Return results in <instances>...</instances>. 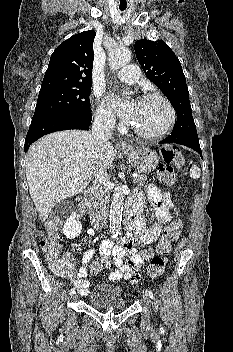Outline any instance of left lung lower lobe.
<instances>
[{
    "label": "left lung lower lobe",
    "instance_id": "1",
    "mask_svg": "<svg viewBox=\"0 0 233 352\" xmlns=\"http://www.w3.org/2000/svg\"><path fill=\"white\" fill-rule=\"evenodd\" d=\"M163 143H176V144L187 146L189 148H192L194 151L198 152L202 157V152H201L198 137H187V138L178 139L173 137L172 135H169L167 138L159 142V144H163Z\"/></svg>",
    "mask_w": 233,
    "mask_h": 352
}]
</instances>
